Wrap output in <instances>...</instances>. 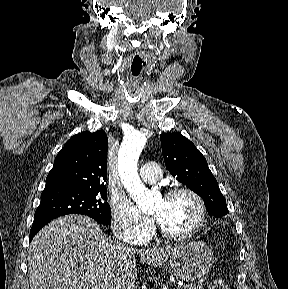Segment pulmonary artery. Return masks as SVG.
Returning a JSON list of instances; mask_svg holds the SVG:
<instances>
[{
    "mask_svg": "<svg viewBox=\"0 0 288 289\" xmlns=\"http://www.w3.org/2000/svg\"><path fill=\"white\" fill-rule=\"evenodd\" d=\"M140 177L146 183H156L162 176L160 166L155 162H147L140 168Z\"/></svg>",
    "mask_w": 288,
    "mask_h": 289,
    "instance_id": "obj_1",
    "label": "pulmonary artery"
}]
</instances>
